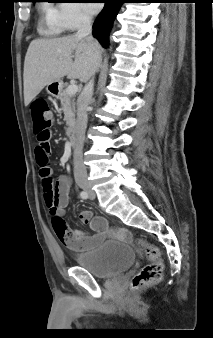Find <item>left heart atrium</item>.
<instances>
[{"label": "left heart atrium", "mask_w": 213, "mask_h": 338, "mask_svg": "<svg viewBox=\"0 0 213 338\" xmlns=\"http://www.w3.org/2000/svg\"><path fill=\"white\" fill-rule=\"evenodd\" d=\"M86 7L91 13H96L101 6L99 3H86Z\"/></svg>", "instance_id": "39dd6f15"}]
</instances>
